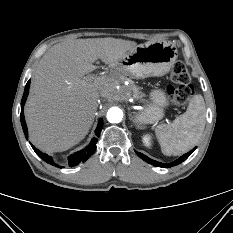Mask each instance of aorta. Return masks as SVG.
Masks as SVG:
<instances>
[{
	"label": "aorta",
	"instance_id": "1",
	"mask_svg": "<svg viewBox=\"0 0 233 233\" xmlns=\"http://www.w3.org/2000/svg\"><path fill=\"white\" fill-rule=\"evenodd\" d=\"M123 118V112L118 107H112L107 112V120L110 123H119Z\"/></svg>",
	"mask_w": 233,
	"mask_h": 233
}]
</instances>
